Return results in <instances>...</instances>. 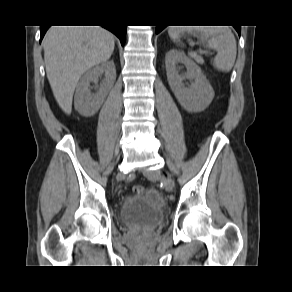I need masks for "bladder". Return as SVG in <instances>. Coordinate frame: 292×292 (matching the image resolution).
<instances>
[{"mask_svg":"<svg viewBox=\"0 0 292 292\" xmlns=\"http://www.w3.org/2000/svg\"><path fill=\"white\" fill-rule=\"evenodd\" d=\"M119 218L131 227L157 226L165 218L164 202L156 191L128 196L120 205Z\"/></svg>","mask_w":292,"mask_h":292,"instance_id":"obj_1","label":"bladder"}]
</instances>
